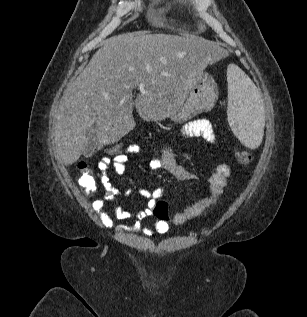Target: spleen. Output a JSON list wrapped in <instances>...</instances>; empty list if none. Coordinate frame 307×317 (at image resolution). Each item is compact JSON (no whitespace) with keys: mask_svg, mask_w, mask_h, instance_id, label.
<instances>
[{"mask_svg":"<svg viewBox=\"0 0 307 317\" xmlns=\"http://www.w3.org/2000/svg\"><path fill=\"white\" fill-rule=\"evenodd\" d=\"M227 116L238 140L254 149L264 135V108L260 93L249 77L236 65H229Z\"/></svg>","mask_w":307,"mask_h":317,"instance_id":"3e777b00","label":"spleen"}]
</instances>
